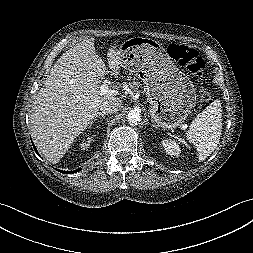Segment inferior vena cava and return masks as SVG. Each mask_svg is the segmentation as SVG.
Here are the masks:
<instances>
[{
	"mask_svg": "<svg viewBox=\"0 0 253 253\" xmlns=\"http://www.w3.org/2000/svg\"><path fill=\"white\" fill-rule=\"evenodd\" d=\"M120 107H121V100H119L118 98H113L103 102L100 106V109L103 113L110 114L117 112L120 109Z\"/></svg>",
	"mask_w": 253,
	"mask_h": 253,
	"instance_id": "obj_1",
	"label": "inferior vena cava"
}]
</instances>
